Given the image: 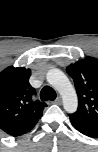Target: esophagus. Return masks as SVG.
<instances>
[{"instance_id": "1", "label": "esophagus", "mask_w": 98, "mask_h": 152, "mask_svg": "<svg viewBox=\"0 0 98 152\" xmlns=\"http://www.w3.org/2000/svg\"><path fill=\"white\" fill-rule=\"evenodd\" d=\"M52 103L60 105L62 103V99L58 97Z\"/></svg>"}]
</instances>
